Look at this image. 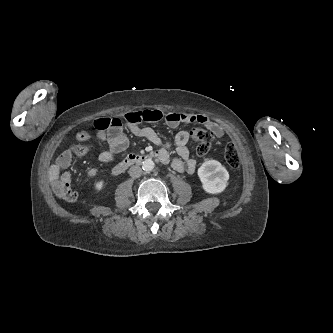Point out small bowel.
I'll return each instance as SVG.
<instances>
[{
    "mask_svg": "<svg viewBox=\"0 0 333 333\" xmlns=\"http://www.w3.org/2000/svg\"><path fill=\"white\" fill-rule=\"evenodd\" d=\"M162 117H164L165 122L170 127H177L181 124H201L216 138L223 136V128L218 123L202 114L181 112H168L163 114L158 109L131 111L125 114V127L132 135L145 138L160 147L157 152L161 162L170 164L171 167L178 172L193 174L196 170V161L190 156L188 147L190 134L188 131L183 130L176 134L174 146L179 157L171 159L169 155L171 144L164 142L152 128L140 126L142 122H154L160 120ZM76 137L79 141H89L91 139V135L86 131L78 132ZM96 138L100 141H106L108 144V149L99 155V160L104 163L113 162L117 154L123 152L128 146V138L124 134L122 127L114 131H99ZM71 162V150L67 149L63 151L50 166L48 179L54 193L59 198L69 202H75L78 199V193L71 189V173L69 171ZM96 172L95 167L88 169L89 176H95Z\"/></svg>",
    "mask_w": 333,
    "mask_h": 333,
    "instance_id": "1",
    "label": "small bowel"
}]
</instances>
